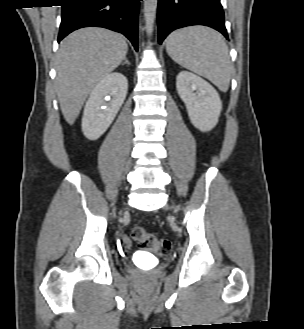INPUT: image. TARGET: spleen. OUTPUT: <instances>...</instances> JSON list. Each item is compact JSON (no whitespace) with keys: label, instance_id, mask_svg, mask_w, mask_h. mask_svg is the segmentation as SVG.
Wrapping results in <instances>:
<instances>
[{"label":"spleen","instance_id":"3e777b00","mask_svg":"<svg viewBox=\"0 0 304 329\" xmlns=\"http://www.w3.org/2000/svg\"><path fill=\"white\" fill-rule=\"evenodd\" d=\"M166 51L182 67L210 80L223 92L229 88L232 65L228 47L220 33L204 26L172 32Z\"/></svg>","mask_w":304,"mask_h":329}]
</instances>
